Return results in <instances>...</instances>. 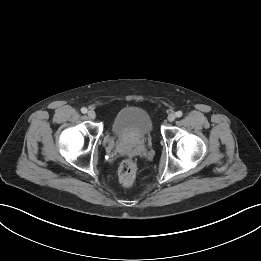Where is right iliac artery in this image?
I'll list each match as a JSON object with an SVG mask.
<instances>
[{
    "label": "right iliac artery",
    "instance_id": "right-iliac-artery-1",
    "mask_svg": "<svg viewBox=\"0 0 261 261\" xmlns=\"http://www.w3.org/2000/svg\"><path fill=\"white\" fill-rule=\"evenodd\" d=\"M81 112L85 114V113H87V109L85 107H83V108H81Z\"/></svg>",
    "mask_w": 261,
    "mask_h": 261
}]
</instances>
